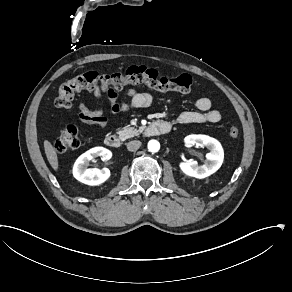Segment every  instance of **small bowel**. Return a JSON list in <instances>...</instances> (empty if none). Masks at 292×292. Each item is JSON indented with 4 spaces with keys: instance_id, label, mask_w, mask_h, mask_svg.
<instances>
[{
    "instance_id": "1",
    "label": "small bowel",
    "mask_w": 292,
    "mask_h": 292,
    "mask_svg": "<svg viewBox=\"0 0 292 292\" xmlns=\"http://www.w3.org/2000/svg\"><path fill=\"white\" fill-rule=\"evenodd\" d=\"M92 96L97 103V107L91 109L83 100H80L77 105V115L82 123L94 125L103 130L108 127V119L104 108L105 101L112 113L122 114L134 109L149 107L154 100L151 93L138 91L135 88L129 89L125 97L120 99L117 90L104 91L100 86H95L92 89ZM221 119V112L212 108L211 100L207 97H201L196 101V110L181 112L169 122L171 124L218 123Z\"/></svg>"
}]
</instances>
